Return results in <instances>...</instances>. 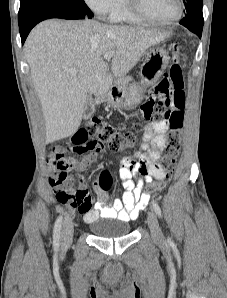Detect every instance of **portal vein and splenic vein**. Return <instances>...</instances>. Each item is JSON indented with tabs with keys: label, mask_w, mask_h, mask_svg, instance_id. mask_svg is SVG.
I'll return each mask as SVG.
<instances>
[{
	"label": "portal vein and splenic vein",
	"mask_w": 227,
	"mask_h": 298,
	"mask_svg": "<svg viewBox=\"0 0 227 298\" xmlns=\"http://www.w3.org/2000/svg\"><path fill=\"white\" fill-rule=\"evenodd\" d=\"M114 56V52L113 51H110V52H107L103 55V59L105 61H109L112 57ZM72 73H75L76 71L75 70H71Z\"/></svg>",
	"instance_id": "portal-vein-and-splenic-vein-1"
}]
</instances>
